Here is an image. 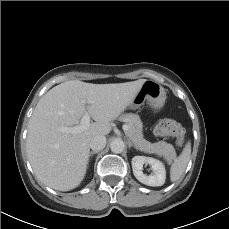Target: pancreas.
I'll return each instance as SVG.
<instances>
[{
    "label": "pancreas",
    "instance_id": "obj_1",
    "mask_svg": "<svg viewBox=\"0 0 229 229\" xmlns=\"http://www.w3.org/2000/svg\"><path fill=\"white\" fill-rule=\"evenodd\" d=\"M120 120L128 126L129 129L126 135L138 150L150 154L154 153L160 157L162 156L168 162H171L176 157V151L172 144L165 141L150 143L144 139L142 133L143 124L138 115L124 114L120 117Z\"/></svg>",
    "mask_w": 229,
    "mask_h": 229
}]
</instances>
